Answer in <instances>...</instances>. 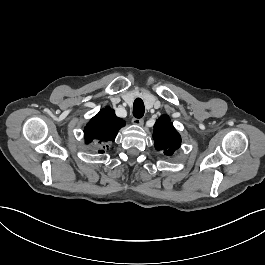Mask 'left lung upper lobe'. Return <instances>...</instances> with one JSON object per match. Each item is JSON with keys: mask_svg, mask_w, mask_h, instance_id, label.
I'll return each mask as SVG.
<instances>
[{"mask_svg": "<svg viewBox=\"0 0 265 265\" xmlns=\"http://www.w3.org/2000/svg\"><path fill=\"white\" fill-rule=\"evenodd\" d=\"M153 138L155 148L162 150L165 155H172L181 145V137L167 115L156 121Z\"/></svg>", "mask_w": 265, "mask_h": 265, "instance_id": "left-lung-upper-lobe-1", "label": "left lung upper lobe"}]
</instances>
